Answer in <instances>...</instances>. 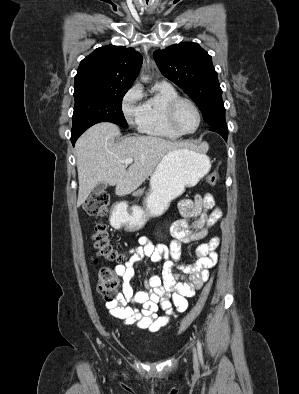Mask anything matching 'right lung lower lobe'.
<instances>
[{"label": "right lung lower lobe", "mask_w": 299, "mask_h": 394, "mask_svg": "<svg viewBox=\"0 0 299 394\" xmlns=\"http://www.w3.org/2000/svg\"><path fill=\"white\" fill-rule=\"evenodd\" d=\"M90 127V125L73 127L71 131V142L74 145L77 138Z\"/></svg>", "instance_id": "1"}]
</instances>
